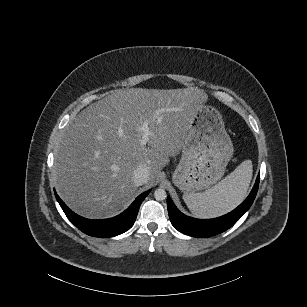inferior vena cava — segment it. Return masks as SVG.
I'll return each instance as SVG.
<instances>
[{
    "label": "inferior vena cava",
    "instance_id": "inferior-vena-cava-1",
    "mask_svg": "<svg viewBox=\"0 0 307 307\" xmlns=\"http://www.w3.org/2000/svg\"><path fill=\"white\" fill-rule=\"evenodd\" d=\"M149 168L146 164H140L139 167L133 173V182L136 186H141L147 183L149 179Z\"/></svg>",
    "mask_w": 307,
    "mask_h": 307
}]
</instances>
